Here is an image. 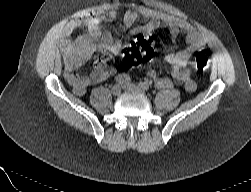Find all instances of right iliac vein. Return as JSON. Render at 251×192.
<instances>
[{
	"label": "right iliac vein",
	"instance_id": "1",
	"mask_svg": "<svg viewBox=\"0 0 251 192\" xmlns=\"http://www.w3.org/2000/svg\"><path fill=\"white\" fill-rule=\"evenodd\" d=\"M111 93L114 96H119L120 93H121V87L119 85L113 86L112 89H111Z\"/></svg>",
	"mask_w": 251,
	"mask_h": 192
}]
</instances>
